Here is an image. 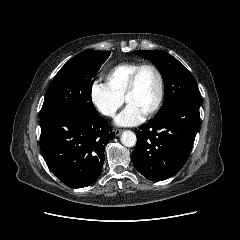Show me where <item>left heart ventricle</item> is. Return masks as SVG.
I'll return each mask as SVG.
<instances>
[{"label": "left heart ventricle", "mask_w": 240, "mask_h": 240, "mask_svg": "<svg viewBox=\"0 0 240 240\" xmlns=\"http://www.w3.org/2000/svg\"><path fill=\"white\" fill-rule=\"evenodd\" d=\"M158 78L152 69L146 68L139 74L137 85L126 102L138 108L143 114L149 110L158 95Z\"/></svg>", "instance_id": "left-heart-ventricle-1"}]
</instances>
